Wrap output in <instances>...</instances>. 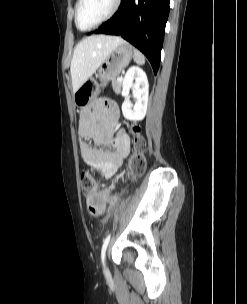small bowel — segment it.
<instances>
[{
	"label": "small bowel",
	"instance_id": "1",
	"mask_svg": "<svg viewBox=\"0 0 247 304\" xmlns=\"http://www.w3.org/2000/svg\"><path fill=\"white\" fill-rule=\"evenodd\" d=\"M80 152L83 161L109 179L130 151V138L118 124V108L112 102H97L81 112ZM112 145L107 151L105 146Z\"/></svg>",
	"mask_w": 247,
	"mask_h": 304
}]
</instances>
